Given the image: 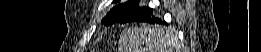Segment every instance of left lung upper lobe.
Instances as JSON below:
<instances>
[{"label":"left lung upper lobe","instance_id":"left-lung-upper-lobe-1","mask_svg":"<svg viewBox=\"0 0 261 52\" xmlns=\"http://www.w3.org/2000/svg\"><path fill=\"white\" fill-rule=\"evenodd\" d=\"M114 2H118V0H114ZM149 10V7H139V0H129L113 7L102 19V23L108 26L117 22L137 21Z\"/></svg>","mask_w":261,"mask_h":52}]
</instances>
